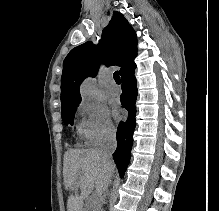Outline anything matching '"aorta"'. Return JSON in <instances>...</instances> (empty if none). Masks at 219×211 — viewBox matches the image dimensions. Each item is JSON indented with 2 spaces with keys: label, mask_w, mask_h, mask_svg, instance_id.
<instances>
[{
  "label": "aorta",
  "mask_w": 219,
  "mask_h": 211,
  "mask_svg": "<svg viewBox=\"0 0 219 211\" xmlns=\"http://www.w3.org/2000/svg\"><path fill=\"white\" fill-rule=\"evenodd\" d=\"M81 95L88 101H95L99 99L100 92L94 84L92 79H86L81 85Z\"/></svg>",
  "instance_id": "aorta-1"
}]
</instances>
